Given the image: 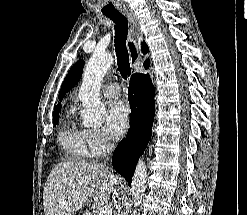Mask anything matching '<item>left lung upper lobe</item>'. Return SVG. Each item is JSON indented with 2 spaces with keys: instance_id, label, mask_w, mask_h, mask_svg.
I'll list each match as a JSON object with an SVG mask.
<instances>
[{
  "instance_id": "left-lung-upper-lobe-1",
  "label": "left lung upper lobe",
  "mask_w": 247,
  "mask_h": 215,
  "mask_svg": "<svg viewBox=\"0 0 247 215\" xmlns=\"http://www.w3.org/2000/svg\"><path fill=\"white\" fill-rule=\"evenodd\" d=\"M84 61L76 62L66 75L59 92V100L61 101L65 94L78 83L82 76Z\"/></svg>"
}]
</instances>
